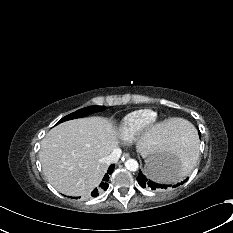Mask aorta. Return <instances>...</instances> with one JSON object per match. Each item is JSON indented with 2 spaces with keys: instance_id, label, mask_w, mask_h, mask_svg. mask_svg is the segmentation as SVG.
<instances>
[{
  "instance_id": "762f6f07",
  "label": "aorta",
  "mask_w": 233,
  "mask_h": 233,
  "mask_svg": "<svg viewBox=\"0 0 233 233\" xmlns=\"http://www.w3.org/2000/svg\"><path fill=\"white\" fill-rule=\"evenodd\" d=\"M125 167L127 170L131 171V172H135L138 170V162L135 159H127L125 162Z\"/></svg>"
}]
</instances>
